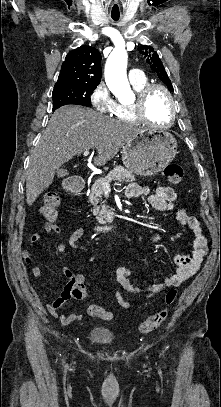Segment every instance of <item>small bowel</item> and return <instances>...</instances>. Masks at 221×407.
<instances>
[{
  "mask_svg": "<svg viewBox=\"0 0 221 407\" xmlns=\"http://www.w3.org/2000/svg\"><path fill=\"white\" fill-rule=\"evenodd\" d=\"M126 196L128 198L143 196L145 197L148 204L156 210L159 211H174L177 220L185 227H187L193 235L191 251L188 255L177 256L174 261L177 265V269L174 273L164 276L162 278L152 279V283L148 286H139L131 282L132 278L138 276L137 272L126 267H121L116 272V280L120 287L127 291L130 294H143L146 299H150L158 293L169 287L179 286L182 282L189 279L200 267L203 257L208 251L207 240L203 235L202 229L200 227L199 221L190 216L186 209L183 206H180L176 203L177 193L176 191L169 186H157L151 188L147 185L131 184L126 190ZM47 232H50L46 230ZM61 229L58 227L55 233H60ZM85 236L84 228H77L74 230L70 237V245L83 249L82 247L77 246V242ZM160 236L156 235L153 237V242H158ZM40 240L39 234H33L30 237L29 244L25 249H23L21 256L26 263H32L33 257L30 249ZM57 252L60 255H68L69 250L65 244H59L57 246ZM61 272L67 278V283L63 288L61 294L53 300L51 303H47L46 307L49 313L55 317H58L61 324L69 325L75 320L82 319L80 314H70V315H60L58 316V310L65 303L76 299L70 290H68L69 285L74 282H80L85 284L86 276L84 273L75 272L67 267H62ZM31 274L33 277L40 279L42 276V270L34 266L31 269ZM115 297L124 309H130L133 306V303L129 300L123 298L121 291L117 287L112 288ZM86 293V290H85ZM87 295V293H86Z\"/></svg>",
  "mask_w": 221,
  "mask_h": 407,
  "instance_id": "c3829d8e",
  "label": "small bowel"
}]
</instances>
